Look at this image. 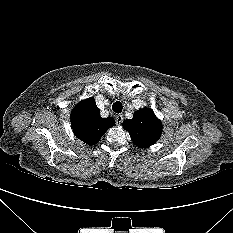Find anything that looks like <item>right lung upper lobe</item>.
I'll use <instances>...</instances> for the list:
<instances>
[{
	"label": "right lung upper lobe",
	"mask_w": 233,
	"mask_h": 233,
	"mask_svg": "<svg viewBox=\"0 0 233 233\" xmlns=\"http://www.w3.org/2000/svg\"><path fill=\"white\" fill-rule=\"evenodd\" d=\"M71 125L78 139L94 145L108 128L115 125V120L112 117L102 118L94 98H88L79 102L72 110Z\"/></svg>",
	"instance_id": "1"
}]
</instances>
